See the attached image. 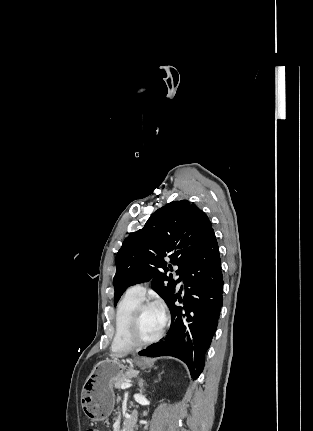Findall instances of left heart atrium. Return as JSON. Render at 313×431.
Wrapping results in <instances>:
<instances>
[{
  "label": "left heart atrium",
  "mask_w": 313,
  "mask_h": 431,
  "mask_svg": "<svg viewBox=\"0 0 313 431\" xmlns=\"http://www.w3.org/2000/svg\"><path fill=\"white\" fill-rule=\"evenodd\" d=\"M154 307L158 311V313L161 317L162 325H163L164 320H165V311H164L163 305L160 302H157L154 304Z\"/></svg>",
  "instance_id": "1"
}]
</instances>
